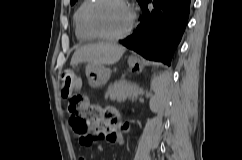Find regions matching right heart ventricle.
<instances>
[{
	"instance_id": "1",
	"label": "right heart ventricle",
	"mask_w": 242,
	"mask_h": 160,
	"mask_svg": "<svg viewBox=\"0 0 242 160\" xmlns=\"http://www.w3.org/2000/svg\"><path fill=\"white\" fill-rule=\"evenodd\" d=\"M90 1L91 0H82L73 15L75 35L80 42H88L96 39V37L88 31L84 23V13Z\"/></svg>"
}]
</instances>
